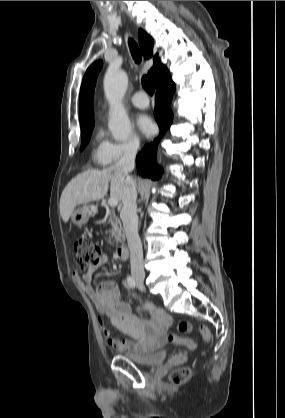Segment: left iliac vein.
<instances>
[{"instance_id":"obj_1","label":"left iliac vein","mask_w":285,"mask_h":418,"mask_svg":"<svg viewBox=\"0 0 285 418\" xmlns=\"http://www.w3.org/2000/svg\"><path fill=\"white\" fill-rule=\"evenodd\" d=\"M137 288L140 290V291H145V286H144V283L143 282H137Z\"/></svg>"}]
</instances>
